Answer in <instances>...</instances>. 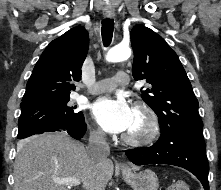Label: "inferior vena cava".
<instances>
[{"label": "inferior vena cava", "mask_w": 221, "mask_h": 190, "mask_svg": "<svg viewBox=\"0 0 221 190\" xmlns=\"http://www.w3.org/2000/svg\"><path fill=\"white\" fill-rule=\"evenodd\" d=\"M90 158L96 162L105 161L110 154L105 133L101 129L90 132L89 144L86 147Z\"/></svg>", "instance_id": "inferior-vena-cava-1"}]
</instances>
